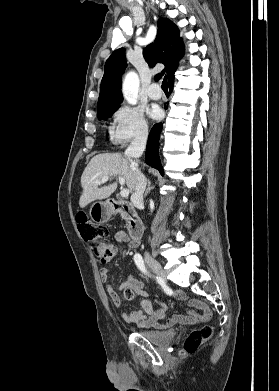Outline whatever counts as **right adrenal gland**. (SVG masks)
I'll list each match as a JSON object with an SVG mask.
<instances>
[{
  "mask_svg": "<svg viewBox=\"0 0 279 391\" xmlns=\"http://www.w3.org/2000/svg\"><path fill=\"white\" fill-rule=\"evenodd\" d=\"M154 188V186H151V181L150 179L147 180V189L145 191L144 197L148 195V193Z\"/></svg>",
  "mask_w": 279,
  "mask_h": 391,
  "instance_id": "1",
  "label": "right adrenal gland"
}]
</instances>
